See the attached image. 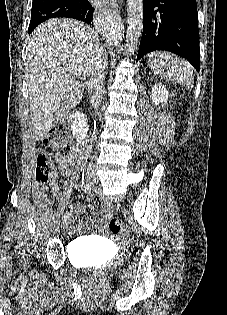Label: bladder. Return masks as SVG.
Instances as JSON below:
<instances>
[{
    "label": "bladder",
    "instance_id": "obj_1",
    "mask_svg": "<svg viewBox=\"0 0 227 315\" xmlns=\"http://www.w3.org/2000/svg\"><path fill=\"white\" fill-rule=\"evenodd\" d=\"M78 250V259L75 262L78 267H87L83 261L86 258L105 259L109 256V248L105 245H94L89 239H78L73 242Z\"/></svg>",
    "mask_w": 227,
    "mask_h": 315
}]
</instances>
